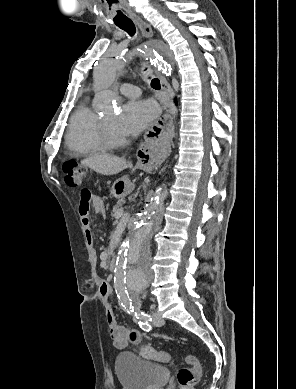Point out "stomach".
<instances>
[{"label": "stomach", "mask_w": 296, "mask_h": 389, "mask_svg": "<svg viewBox=\"0 0 296 389\" xmlns=\"http://www.w3.org/2000/svg\"><path fill=\"white\" fill-rule=\"evenodd\" d=\"M141 172L144 175H147L150 172V169H141ZM132 189V183L131 181L124 177L119 180H117L111 190V194L115 198H121L124 197L126 194H128Z\"/></svg>", "instance_id": "0dacf381"}]
</instances>
